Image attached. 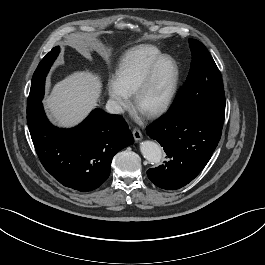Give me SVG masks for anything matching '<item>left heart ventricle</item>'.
Instances as JSON below:
<instances>
[{"label": "left heart ventricle", "mask_w": 265, "mask_h": 265, "mask_svg": "<svg viewBox=\"0 0 265 265\" xmlns=\"http://www.w3.org/2000/svg\"><path fill=\"white\" fill-rule=\"evenodd\" d=\"M171 77L170 65L168 63L162 64L140 102L141 109L153 108L164 99L170 86Z\"/></svg>", "instance_id": "b2bd125f"}]
</instances>
